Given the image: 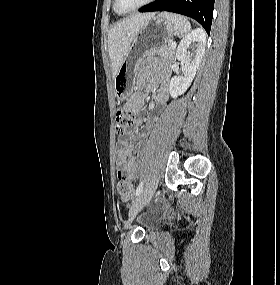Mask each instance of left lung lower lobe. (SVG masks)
<instances>
[{
  "label": "left lung lower lobe",
  "mask_w": 280,
  "mask_h": 285,
  "mask_svg": "<svg viewBox=\"0 0 280 285\" xmlns=\"http://www.w3.org/2000/svg\"><path fill=\"white\" fill-rule=\"evenodd\" d=\"M215 0H156L143 6L140 12L169 11L189 16L198 21L209 34Z\"/></svg>",
  "instance_id": "0a47b994"
}]
</instances>
